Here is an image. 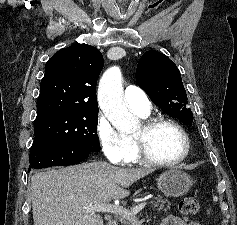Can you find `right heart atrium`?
<instances>
[{"instance_id": "d8ad5b80", "label": "right heart atrium", "mask_w": 237, "mask_h": 225, "mask_svg": "<svg viewBox=\"0 0 237 225\" xmlns=\"http://www.w3.org/2000/svg\"><path fill=\"white\" fill-rule=\"evenodd\" d=\"M95 130L102 152L111 163L124 164L130 161L135 151L134 145L105 116H99Z\"/></svg>"}]
</instances>
